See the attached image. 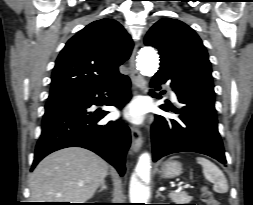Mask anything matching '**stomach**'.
<instances>
[{
	"mask_svg": "<svg viewBox=\"0 0 253 205\" xmlns=\"http://www.w3.org/2000/svg\"><path fill=\"white\" fill-rule=\"evenodd\" d=\"M159 172L165 178H173L181 174L182 166L177 161H168L162 165V168Z\"/></svg>",
	"mask_w": 253,
	"mask_h": 205,
	"instance_id": "1",
	"label": "stomach"
}]
</instances>
